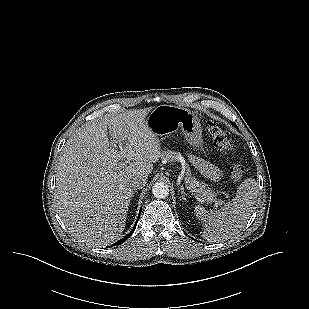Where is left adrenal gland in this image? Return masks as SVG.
<instances>
[{
    "label": "left adrenal gland",
    "instance_id": "1",
    "mask_svg": "<svg viewBox=\"0 0 309 309\" xmlns=\"http://www.w3.org/2000/svg\"><path fill=\"white\" fill-rule=\"evenodd\" d=\"M182 190V189H181ZM182 193H184V191H182ZM183 199L185 200V195H183Z\"/></svg>",
    "mask_w": 309,
    "mask_h": 309
}]
</instances>
